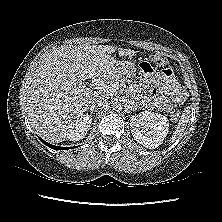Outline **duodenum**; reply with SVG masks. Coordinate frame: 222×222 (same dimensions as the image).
<instances>
[{
    "mask_svg": "<svg viewBox=\"0 0 222 222\" xmlns=\"http://www.w3.org/2000/svg\"><path fill=\"white\" fill-rule=\"evenodd\" d=\"M105 76V72L104 71H99L95 74V76L93 77V81L94 82H99L100 80L103 79V77Z\"/></svg>",
    "mask_w": 222,
    "mask_h": 222,
    "instance_id": "1",
    "label": "duodenum"
}]
</instances>
